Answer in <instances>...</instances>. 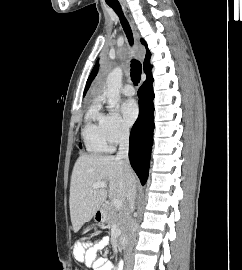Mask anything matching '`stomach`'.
<instances>
[{"instance_id":"1","label":"stomach","mask_w":242,"mask_h":270,"mask_svg":"<svg viewBox=\"0 0 242 270\" xmlns=\"http://www.w3.org/2000/svg\"><path fill=\"white\" fill-rule=\"evenodd\" d=\"M100 215H101V218L103 219L105 217V212L104 211H100Z\"/></svg>"}]
</instances>
